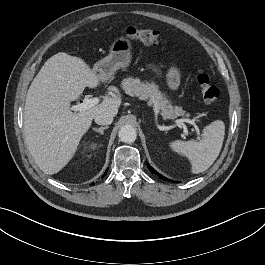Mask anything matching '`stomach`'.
I'll return each mask as SVG.
<instances>
[{
  "mask_svg": "<svg viewBox=\"0 0 265 265\" xmlns=\"http://www.w3.org/2000/svg\"><path fill=\"white\" fill-rule=\"evenodd\" d=\"M131 49L132 44L129 39L117 38L110 47L109 55L96 62L92 71L101 81L110 79L118 69L126 68L130 64Z\"/></svg>",
  "mask_w": 265,
  "mask_h": 265,
  "instance_id": "0dacf381",
  "label": "stomach"
}]
</instances>
